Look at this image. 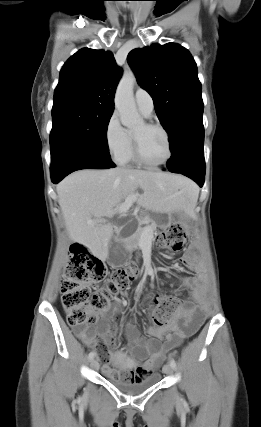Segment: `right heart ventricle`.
Segmentation results:
<instances>
[{"label":"right heart ventricle","mask_w":261,"mask_h":427,"mask_svg":"<svg viewBox=\"0 0 261 427\" xmlns=\"http://www.w3.org/2000/svg\"><path fill=\"white\" fill-rule=\"evenodd\" d=\"M128 134L130 137V145L123 158L119 161L122 165H133L137 163L133 155L132 134L130 132H128Z\"/></svg>","instance_id":"1"}]
</instances>
